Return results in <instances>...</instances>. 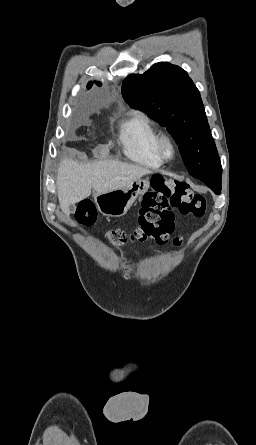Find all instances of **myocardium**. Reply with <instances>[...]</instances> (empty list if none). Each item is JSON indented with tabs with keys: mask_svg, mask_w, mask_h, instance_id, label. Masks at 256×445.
<instances>
[{
	"mask_svg": "<svg viewBox=\"0 0 256 445\" xmlns=\"http://www.w3.org/2000/svg\"><path fill=\"white\" fill-rule=\"evenodd\" d=\"M156 151L163 162L171 161L177 152L176 144L172 137L166 134L159 135L156 142Z\"/></svg>",
	"mask_w": 256,
	"mask_h": 445,
	"instance_id": "myocardium-1",
	"label": "myocardium"
}]
</instances>
